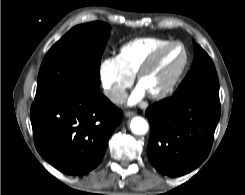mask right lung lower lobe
I'll use <instances>...</instances> for the list:
<instances>
[{
    "instance_id": "obj_1",
    "label": "right lung lower lobe",
    "mask_w": 245,
    "mask_h": 195,
    "mask_svg": "<svg viewBox=\"0 0 245 195\" xmlns=\"http://www.w3.org/2000/svg\"><path fill=\"white\" fill-rule=\"evenodd\" d=\"M122 111L98 89L34 101L31 124L40 155L69 175H84L101 162Z\"/></svg>"
}]
</instances>
